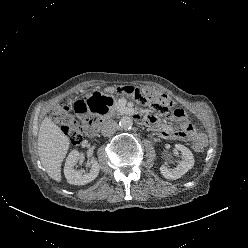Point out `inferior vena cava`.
<instances>
[{
	"instance_id": "602c4592",
	"label": "inferior vena cava",
	"mask_w": 248,
	"mask_h": 248,
	"mask_svg": "<svg viewBox=\"0 0 248 248\" xmlns=\"http://www.w3.org/2000/svg\"><path fill=\"white\" fill-rule=\"evenodd\" d=\"M117 128V123L113 120L106 121L101 127V133L103 136L107 137L115 133Z\"/></svg>"
}]
</instances>
